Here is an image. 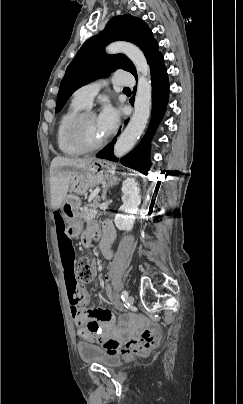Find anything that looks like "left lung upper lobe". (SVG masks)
<instances>
[{"instance_id":"5c2ea615","label":"left lung upper lobe","mask_w":243,"mask_h":404,"mask_svg":"<svg viewBox=\"0 0 243 404\" xmlns=\"http://www.w3.org/2000/svg\"><path fill=\"white\" fill-rule=\"evenodd\" d=\"M116 40H126L140 47L149 65L161 54L151 30L141 19L129 14L113 17L102 32L82 45L67 67L60 84L55 112L63 108L78 88L100 77H107L117 69H124L137 77L135 66L125 55L104 53L105 46Z\"/></svg>"}]
</instances>
